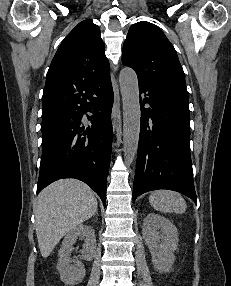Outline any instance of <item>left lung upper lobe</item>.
Wrapping results in <instances>:
<instances>
[{"instance_id": "obj_1", "label": "left lung upper lobe", "mask_w": 231, "mask_h": 286, "mask_svg": "<svg viewBox=\"0 0 231 286\" xmlns=\"http://www.w3.org/2000/svg\"><path fill=\"white\" fill-rule=\"evenodd\" d=\"M122 62L135 70L139 82L188 94L176 51L154 24L141 21L130 27Z\"/></svg>"}]
</instances>
